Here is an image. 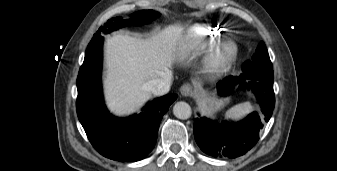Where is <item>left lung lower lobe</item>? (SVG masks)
Returning <instances> with one entry per match:
<instances>
[{
	"mask_svg": "<svg viewBox=\"0 0 337 171\" xmlns=\"http://www.w3.org/2000/svg\"><path fill=\"white\" fill-rule=\"evenodd\" d=\"M273 78V74L243 72L239 77L228 76L217 83L220 96L230 95L237 84L241 89L249 87L257 98L260 113L253 112L238 123H217L205 117L196 118L194 136L204 153L232 159L244 155L257 143L259 133L272 116L275 105Z\"/></svg>",
	"mask_w": 337,
	"mask_h": 171,
	"instance_id": "obj_1",
	"label": "left lung lower lobe"
}]
</instances>
